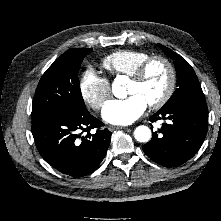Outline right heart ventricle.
<instances>
[{
  "mask_svg": "<svg viewBox=\"0 0 221 221\" xmlns=\"http://www.w3.org/2000/svg\"><path fill=\"white\" fill-rule=\"evenodd\" d=\"M150 57L144 51L124 49L115 51L102 60V66L112 75L130 76L139 64Z\"/></svg>",
  "mask_w": 221,
  "mask_h": 221,
  "instance_id": "obj_1",
  "label": "right heart ventricle"
}]
</instances>
